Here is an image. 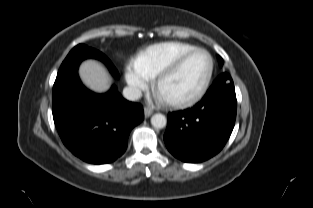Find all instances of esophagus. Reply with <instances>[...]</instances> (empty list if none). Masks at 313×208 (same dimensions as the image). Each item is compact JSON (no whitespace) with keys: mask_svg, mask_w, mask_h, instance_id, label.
<instances>
[{"mask_svg":"<svg viewBox=\"0 0 313 208\" xmlns=\"http://www.w3.org/2000/svg\"><path fill=\"white\" fill-rule=\"evenodd\" d=\"M153 109L150 107H145L144 108V115L146 118L150 117L153 114Z\"/></svg>","mask_w":313,"mask_h":208,"instance_id":"obj_1","label":"esophagus"}]
</instances>
